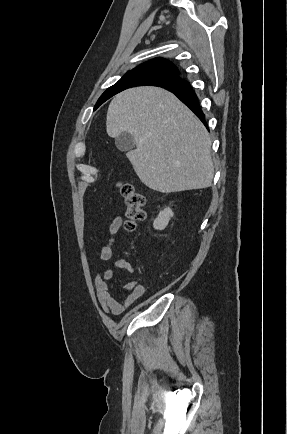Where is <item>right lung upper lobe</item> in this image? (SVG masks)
Wrapping results in <instances>:
<instances>
[{
	"mask_svg": "<svg viewBox=\"0 0 287 434\" xmlns=\"http://www.w3.org/2000/svg\"><path fill=\"white\" fill-rule=\"evenodd\" d=\"M138 68L160 69V70H164V71H167L169 73H172L176 76V78L173 80L153 84L155 86L163 87V86H166L168 84L182 80L179 76V71L175 67V65L164 58H154L148 62H145V63L139 65L138 67H136L134 69H138Z\"/></svg>",
	"mask_w": 287,
	"mask_h": 434,
	"instance_id": "cb5924a9",
	"label": "right lung upper lobe"
}]
</instances>
